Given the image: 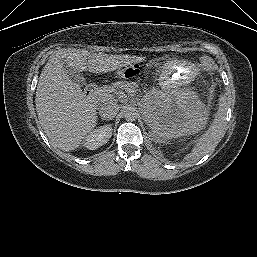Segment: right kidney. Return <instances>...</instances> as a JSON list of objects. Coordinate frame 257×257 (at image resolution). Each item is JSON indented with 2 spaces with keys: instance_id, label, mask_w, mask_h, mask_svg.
<instances>
[{
  "instance_id": "1",
  "label": "right kidney",
  "mask_w": 257,
  "mask_h": 257,
  "mask_svg": "<svg viewBox=\"0 0 257 257\" xmlns=\"http://www.w3.org/2000/svg\"><path fill=\"white\" fill-rule=\"evenodd\" d=\"M111 125H104L93 130L85 139L84 146L90 150L97 149L106 144L112 136Z\"/></svg>"
}]
</instances>
